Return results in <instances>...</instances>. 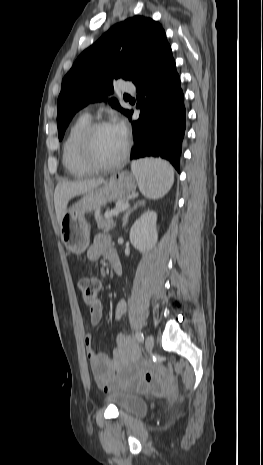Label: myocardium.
<instances>
[{"label":"myocardium","mask_w":263,"mask_h":465,"mask_svg":"<svg viewBox=\"0 0 263 465\" xmlns=\"http://www.w3.org/2000/svg\"><path fill=\"white\" fill-rule=\"evenodd\" d=\"M109 126H114L112 122L110 121H105V120H100V121H95L91 122L82 132L80 138H79V144H78V149H79V155L82 160V162L92 169L93 171H105V170H110L113 169L120 164L124 162L126 159L129 148H130V142L126 138L125 140V145L124 148L121 152V154L113 161L103 163L98 161L93 153V137L95 133L105 127Z\"/></svg>","instance_id":"myocardium-1"}]
</instances>
